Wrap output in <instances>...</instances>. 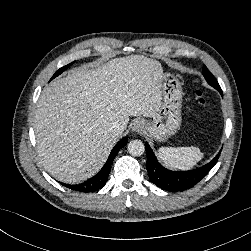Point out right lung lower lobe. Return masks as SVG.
<instances>
[{"mask_svg": "<svg viewBox=\"0 0 251 251\" xmlns=\"http://www.w3.org/2000/svg\"><path fill=\"white\" fill-rule=\"evenodd\" d=\"M126 144H127V138L123 137L111 151L110 156L108 160L106 161L105 165L103 166V168L92 178L88 179L87 181L83 183L76 184V185H70V184H64V183H61V184L71 190H75L79 192H94L101 189L107 182L111 165L114 158L116 157V154Z\"/></svg>", "mask_w": 251, "mask_h": 251, "instance_id": "1", "label": "right lung lower lobe"}]
</instances>
